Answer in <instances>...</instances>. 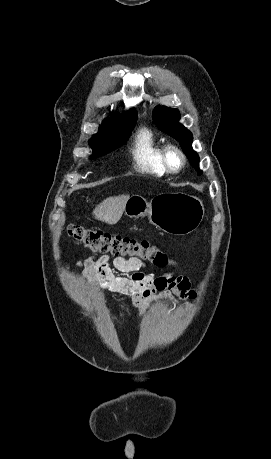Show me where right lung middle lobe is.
<instances>
[{
  "mask_svg": "<svg viewBox=\"0 0 271 459\" xmlns=\"http://www.w3.org/2000/svg\"><path fill=\"white\" fill-rule=\"evenodd\" d=\"M135 121H116L102 124L98 134L89 141L94 155H104L125 144L135 126Z\"/></svg>",
  "mask_w": 271,
  "mask_h": 459,
  "instance_id": "dd1d6c3e",
  "label": "right lung middle lobe"
}]
</instances>
